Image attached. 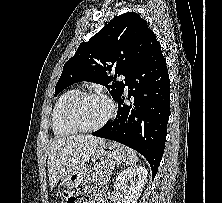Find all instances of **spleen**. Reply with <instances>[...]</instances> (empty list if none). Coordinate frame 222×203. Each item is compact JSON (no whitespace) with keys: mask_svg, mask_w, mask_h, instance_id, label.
Instances as JSON below:
<instances>
[{"mask_svg":"<svg viewBox=\"0 0 222 203\" xmlns=\"http://www.w3.org/2000/svg\"><path fill=\"white\" fill-rule=\"evenodd\" d=\"M137 162H138L137 153L131 148H126V164L133 165Z\"/></svg>","mask_w":222,"mask_h":203,"instance_id":"obj_1","label":"spleen"}]
</instances>
